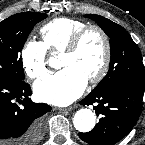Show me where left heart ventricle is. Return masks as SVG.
<instances>
[{"instance_id": "obj_1", "label": "left heart ventricle", "mask_w": 145, "mask_h": 145, "mask_svg": "<svg viewBox=\"0 0 145 145\" xmlns=\"http://www.w3.org/2000/svg\"><path fill=\"white\" fill-rule=\"evenodd\" d=\"M103 56V41L98 33L92 31L84 37L75 52L61 55L60 66L63 68L68 66L75 67L89 79L100 69Z\"/></svg>"}]
</instances>
